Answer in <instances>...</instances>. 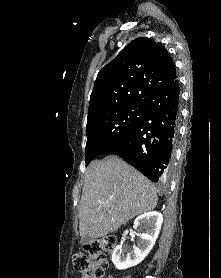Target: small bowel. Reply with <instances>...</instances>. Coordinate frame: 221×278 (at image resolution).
Wrapping results in <instances>:
<instances>
[{
  "label": "small bowel",
  "instance_id": "small-bowel-1",
  "mask_svg": "<svg viewBox=\"0 0 221 278\" xmlns=\"http://www.w3.org/2000/svg\"><path fill=\"white\" fill-rule=\"evenodd\" d=\"M106 278H113V276H111V275H108Z\"/></svg>",
  "mask_w": 221,
  "mask_h": 278
}]
</instances>
